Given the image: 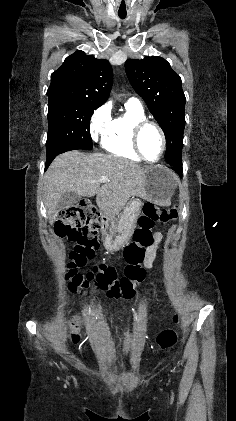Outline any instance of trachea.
<instances>
[{
  "mask_svg": "<svg viewBox=\"0 0 236 421\" xmlns=\"http://www.w3.org/2000/svg\"><path fill=\"white\" fill-rule=\"evenodd\" d=\"M119 17L123 20L124 18H126V15H119Z\"/></svg>",
  "mask_w": 236,
  "mask_h": 421,
  "instance_id": "obj_1",
  "label": "trachea"
}]
</instances>
